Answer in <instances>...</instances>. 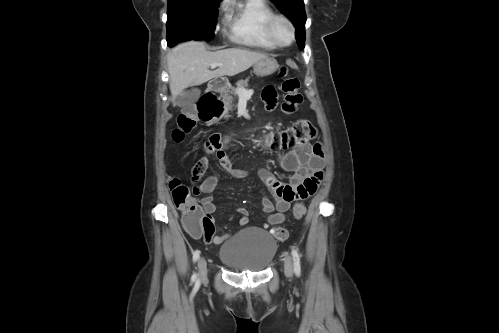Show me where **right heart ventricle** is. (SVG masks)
<instances>
[{"instance_id":"1","label":"right heart ventricle","mask_w":499,"mask_h":333,"mask_svg":"<svg viewBox=\"0 0 499 333\" xmlns=\"http://www.w3.org/2000/svg\"><path fill=\"white\" fill-rule=\"evenodd\" d=\"M229 36L235 43L256 49L277 47L267 33V21L275 14L267 0H240L226 7Z\"/></svg>"}]
</instances>
